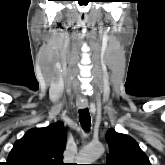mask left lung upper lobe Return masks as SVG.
<instances>
[{"instance_id": "5c2ea615", "label": "left lung upper lobe", "mask_w": 165, "mask_h": 165, "mask_svg": "<svg viewBox=\"0 0 165 165\" xmlns=\"http://www.w3.org/2000/svg\"><path fill=\"white\" fill-rule=\"evenodd\" d=\"M109 154L105 165H151L145 153L130 136L110 129L106 134Z\"/></svg>"}]
</instances>
